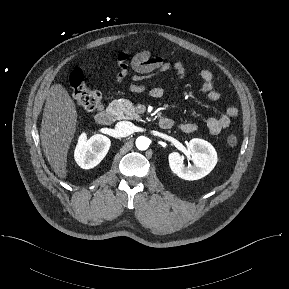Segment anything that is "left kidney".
<instances>
[{"label": "left kidney", "mask_w": 289, "mask_h": 289, "mask_svg": "<svg viewBox=\"0 0 289 289\" xmlns=\"http://www.w3.org/2000/svg\"><path fill=\"white\" fill-rule=\"evenodd\" d=\"M192 166L184 165V157L178 152L169 154V166L174 174L185 180H198L208 175L217 163L214 147L203 139H191L188 144Z\"/></svg>", "instance_id": "obj_1"}]
</instances>
